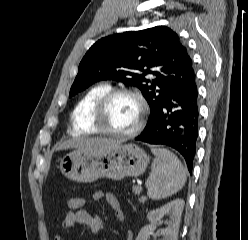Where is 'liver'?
I'll use <instances>...</instances> for the list:
<instances>
[{"instance_id": "1", "label": "liver", "mask_w": 248, "mask_h": 240, "mask_svg": "<svg viewBox=\"0 0 248 240\" xmlns=\"http://www.w3.org/2000/svg\"><path fill=\"white\" fill-rule=\"evenodd\" d=\"M119 144L118 142L110 139L103 138H84L78 140H68L62 143L57 149L77 148L83 151H95L98 149H104Z\"/></svg>"}]
</instances>
